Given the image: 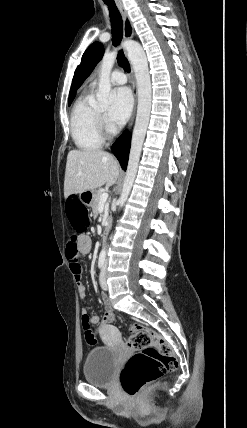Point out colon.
I'll return each mask as SVG.
<instances>
[{"mask_svg": "<svg viewBox=\"0 0 247 428\" xmlns=\"http://www.w3.org/2000/svg\"><path fill=\"white\" fill-rule=\"evenodd\" d=\"M64 207V226L69 232H90L92 219L87 217L86 203L82 202L80 194H69L68 199L64 200ZM77 241V234L68 241L67 251L72 255L77 254ZM101 313L105 316L102 319L105 325L101 327L104 330L116 320V313L109 309H104ZM82 325L86 343L96 345L97 336L88 318H82ZM127 344L138 350L126 361L120 374L121 387L128 396H136L146 384L177 368L178 361L171 345L143 325L134 324L130 327Z\"/></svg>", "mask_w": 247, "mask_h": 428, "instance_id": "1", "label": "colon"}]
</instances>
